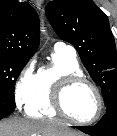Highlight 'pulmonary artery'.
Returning a JSON list of instances; mask_svg holds the SVG:
<instances>
[{
    "instance_id": "e3ab8cb5",
    "label": "pulmonary artery",
    "mask_w": 117,
    "mask_h": 136,
    "mask_svg": "<svg viewBox=\"0 0 117 136\" xmlns=\"http://www.w3.org/2000/svg\"><path fill=\"white\" fill-rule=\"evenodd\" d=\"M54 50L57 52L64 53L71 57H76V50L73 46L66 44L64 42H57L54 45Z\"/></svg>"
}]
</instances>
